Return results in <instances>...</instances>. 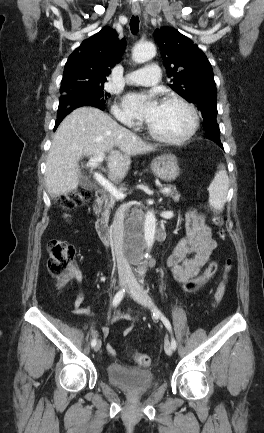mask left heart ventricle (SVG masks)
Returning <instances> with one entry per match:
<instances>
[{"mask_svg":"<svg viewBox=\"0 0 264 433\" xmlns=\"http://www.w3.org/2000/svg\"><path fill=\"white\" fill-rule=\"evenodd\" d=\"M191 124L189 112L176 103H161L155 117L149 122L157 133L167 137H180Z\"/></svg>","mask_w":264,"mask_h":433,"instance_id":"left-heart-ventricle-1","label":"left heart ventricle"}]
</instances>
